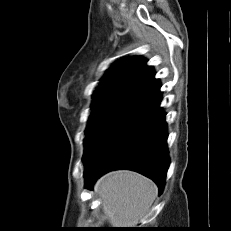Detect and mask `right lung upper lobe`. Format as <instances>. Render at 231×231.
Here are the masks:
<instances>
[{"label": "right lung upper lobe", "instance_id": "right-lung-upper-lobe-1", "mask_svg": "<svg viewBox=\"0 0 231 231\" xmlns=\"http://www.w3.org/2000/svg\"><path fill=\"white\" fill-rule=\"evenodd\" d=\"M147 61L139 56L115 62L94 91V101L107 97H131L150 106L162 100L161 84Z\"/></svg>", "mask_w": 231, "mask_h": 231}]
</instances>
